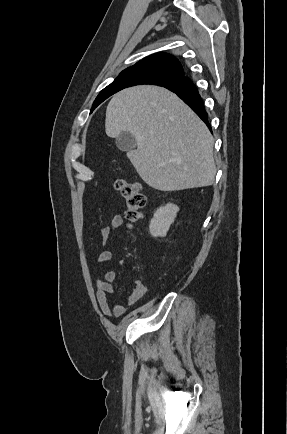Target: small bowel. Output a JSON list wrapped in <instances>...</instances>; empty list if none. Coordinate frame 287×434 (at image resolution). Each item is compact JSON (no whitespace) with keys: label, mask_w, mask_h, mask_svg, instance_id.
<instances>
[{"label":"small bowel","mask_w":287,"mask_h":434,"mask_svg":"<svg viewBox=\"0 0 287 434\" xmlns=\"http://www.w3.org/2000/svg\"><path fill=\"white\" fill-rule=\"evenodd\" d=\"M123 225V218L120 215H115L110 222L101 228V245L102 250L97 257L100 264L107 262L111 258V251L106 246L109 237L119 230ZM123 265V261L119 262ZM117 280V273L113 270H107L103 278L95 280L96 299L100 310L106 317L122 316L127 311V306L133 305L141 300L146 294V288L141 281H136L132 293L129 295L126 305L115 303L111 299L115 288L113 283Z\"/></svg>","instance_id":"obj_1"}]
</instances>
